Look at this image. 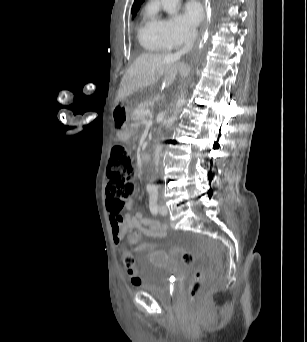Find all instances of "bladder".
<instances>
[{
	"label": "bladder",
	"instance_id": "obj_1",
	"mask_svg": "<svg viewBox=\"0 0 307 342\" xmlns=\"http://www.w3.org/2000/svg\"><path fill=\"white\" fill-rule=\"evenodd\" d=\"M173 285L170 272L162 266L154 265L143 273L137 287L157 298L167 300L171 296Z\"/></svg>",
	"mask_w": 307,
	"mask_h": 342
}]
</instances>
